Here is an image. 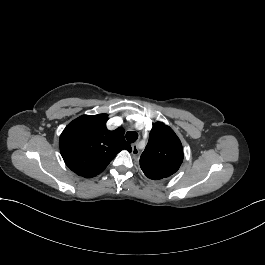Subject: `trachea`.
<instances>
[{
    "instance_id": "3493384b",
    "label": "trachea",
    "mask_w": 265,
    "mask_h": 265,
    "mask_svg": "<svg viewBox=\"0 0 265 265\" xmlns=\"http://www.w3.org/2000/svg\"><path fill=\"white\" fill-rule=\"evenodd\" d=\"M138 138V133L135 131H128L126 133V139L129 143H134Z\"/></svg>"
}]
</instances>
